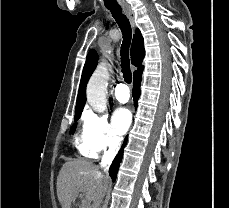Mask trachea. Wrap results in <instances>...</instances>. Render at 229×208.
<instances>
[{
    "label": "trachea",
    "instance_id": "3493384b",
    "mask_svg": "<svg viewBox=\"0 0 229 208\" xmlns=\"http://www.w3.org/2000/svg\"><path fill=\"white\" fill-rule=\"evenodd\" d=\"M110 10L116 23L123 35V41L120 50L121 56V69L123 73V78L126 83L130 84L132 82V73L130 69V59H129V48L132 39V29L128 18L123 15L121 7H106Z\"/></svg>",
    "mask_w": 229,
    "mask_h": 208
}]
</instances>
